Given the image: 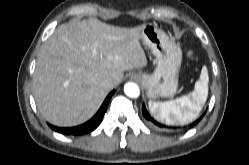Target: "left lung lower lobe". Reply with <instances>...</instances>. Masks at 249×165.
<instances>
[{
    "label": "left lung lower lobe",
    "instance_id": "0a47b994",
    "mask_svg": "<svg viewBox=\"0 0 249 165\" xmlns=\"http://www.w3.org/2000/svg\"><path fill=\"white\" fill-rule=\"evenodd\" d=\"M142 114H143V116H144V118H145L146 120H148L149 122L155 124V125L158 126L159 128H166L164 125H162V124H160V123H157L154 119H152V118L150 117V115L148 114V112H147V110H146V108H145L144 105L142 106ZM201 119H202V116H201L198 120H196L195 122H193L191 125H189V127L195 126L196 124L199 123V121H200Z\"/></svg>",
    "mask_w": 249,
    "mask_h": 165
}]
</instances>
